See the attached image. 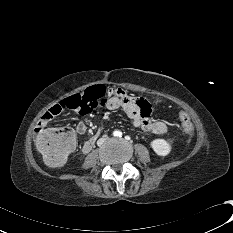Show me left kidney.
Masks as SVG:
<instances>
[{
	"label": "left kidney",
	"instance_id": "5707ae66",
	"mask_svg": "<svg viewBox=\"0 0 233 233\" xmlns=\"http://www.w3.org/2000/svg\"><path fill=\"white\" fill-rule=\"evenodd\" d=\"M150 145L159 156H167L171 152V145L165 139H154Z\"/></svg>",
	"mask_w": 233,
	"mask_h": 233
}]
</instances>
